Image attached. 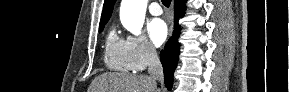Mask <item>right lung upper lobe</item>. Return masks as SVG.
Masks as SVG:
<instances>
[{
	"label": "right lung upper lobe",
	"mask_w": 289,
	"mask_h": 92,
	"mask_svg": "<svg viewBox=\"0 0 289 92\" xmlns=\"http://www.w3.org/2000/svg\"><path fill=\"white\" fill-rule=\"evenodd\" d=\"M116 0H105L104 1V6H103V11H102V16L100 20V25L106 24L111 16V13L113 11V6L115 4Z\"/></svg>",
	"instance_id": "1"
}]
</instances>
